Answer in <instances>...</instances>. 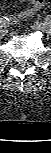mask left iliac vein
<instances>
[{
    "mask_svg": "<svg viewBox=\"0 0 51 153\" xmlns=\"http://www.w3.org/2000/svg\"><path fill=\"white\" fill-rule=\"evenodd\" d=\"M33 28L45 34L51 33V26L47 23H37L36 25L33 26Z\"/></svg>",
    "mask_w": 51,
    "mask_h": 153,
    "instance_id": "left-iliac-vein-1",
    "label": "left iliac vein"
}]
</instances>
